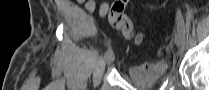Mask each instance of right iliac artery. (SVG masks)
Wrapping results in <instances>:
<instances>
[{
    "mask_svg": "<svg viewBox=\"0 0 209 90\" xmlns=\"http://www.w3.org/2000/svg\"><path fill=\"white\" fill-rule=\"evenodd\" d=\"M111 54H112V49L109 48V49L105 52L104 57L107 58V57H109Z\"/></svg>",
    "mask_w": 209,
    "mask_h": 90,
    "instance_id": "82829eb1",
    "label": "right iliac artery"
}]
</instances>
